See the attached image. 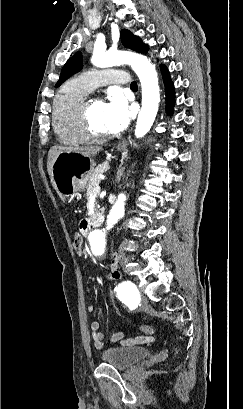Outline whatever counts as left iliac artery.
<instances>
[{
	"label": "left iliac artery",
	"mask_w": 243,
	"mask_h": 409,
	"mask_svg": "<svg viewBox=\"0 0 243 409\" xmlns=\"http://www.w3.org/2000/svg\"><path fill=\"white\" fill-rule=\"evenodd\" d=\"M115 291L119 299L125 301L129 306L135 307L139 303L140 296L137 288L130 281L119 284Z\"/></svg>",
	"instance_id": "obj_1"
}]
</instances>
